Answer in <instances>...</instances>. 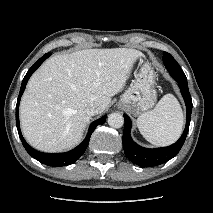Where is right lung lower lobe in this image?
<instances>
[{
	"instance_id": "1",
	"label": "right lung lower lobe",
	"mask_w": 213,
	"mask_h": 213,
	"mask_svg": "<svg viewBox=\"0 0 213 213\" xmlns=\"http://www.w3.org/2000/svg\"><path fill=\"white\" fill-rule=\"evenodd\" d=\"M51 55V53H46L45 55H43L27 72V74L25 75L22 84H21V89H20V93L18 96V100H17V105H16V126H17V130L19 133V137L22 141V144L24 146V148L26 149V151L36 160H38L39 162H41L42 164L48 165V166H52V167H61V166H67L70 165L72 163H74L75 161H77L85 152L88 144H89V140H90V136L93 133V131L95 130V128L100 125V124H104L105 120H106V116L101 117L100 119L94 121L89 128L88 134L85 137L84 141L77 146L75 149L67 152V153H61V154H45V153H41L35 149H33L31 146H29L27 144V142L24 140L22 134H21V130H20V125H19V102H20V98L21 95L24 92V89L26 87L27 81L30 78V76L32 75V73L43 63V61L45 59H47L49 56Z\"/></svg>"
}]
</instances>
